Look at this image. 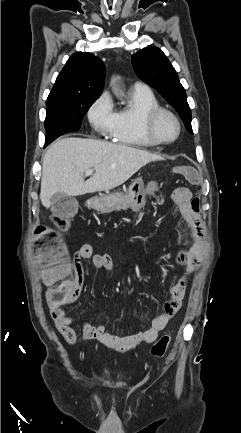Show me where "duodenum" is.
Here are the masks:
<instances>
[{"label": "duodenum", "instance_id": "1", "mask_svg": "<svg viewBox=\"0 0 241 433\" xmlns=\"http://www.w3.org/2000/svg\"><path fill=\"white\" fill-rule=\"evenodd\" d=\"M88 203H89V205H93V204H96L97 202L89 201Z\"/></svg>", "mask_w": 241, "mask_h": 433}]
</instances>
